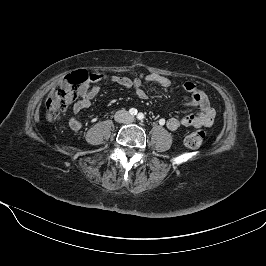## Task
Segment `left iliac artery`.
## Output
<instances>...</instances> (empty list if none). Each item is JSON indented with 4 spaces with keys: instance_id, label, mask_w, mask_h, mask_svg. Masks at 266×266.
I'll return each instance as SVG.
<instances>
[{
    "instance_id": "44dca946",
    "label": "left iliac artery",
    "mask_w": 266,
    "mask_h": 266,
    "mask_svg": "<svg viewBox=\"0 0 266 266\" xmlns=\"http://www.w3.org/2000/svg\"><path fill=\"white\" fill-rule=\"evenodd\" d=\"M137 119L142 121L144 119V114L143 113H139L137 115Z\"/></svg>"
}]
</instances>
